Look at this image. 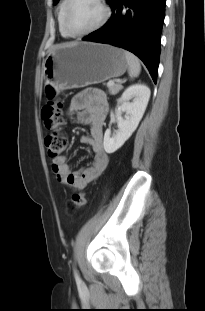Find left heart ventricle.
Returning a JSON list of instances; mask_svg holds the SVG:
<instances>
[{
	"label": "left heart ventricle",
	"mask_w": 205,
	"mask_h": 311,
	"mask_svg": "<svg viewBox=\"0 0 205 311\" xmlns=\"http://www.w3.org/2000/svg\"><path fill=\"white\" fill-rule=\"evenodd\" d=\"M102 16L103 10L96 0H74L68 22L73 31L82 32L95 26Z\"/></svg>",
	"instance_id": "left-heart-ventricle-1"
}]
</instances>
